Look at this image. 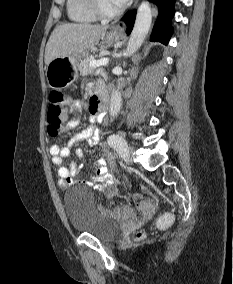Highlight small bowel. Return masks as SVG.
<instances>
[{
	"label": "small bowel",
	"instance_id": "obj_1",
	"mask_svg": "<svg viewBox=\"0 0 233 284\" xmlns=\"http://www.w3.org/2000/svg\"><path fill=\"white\" fill-rule=\"evenodd\" d=\"M90 111V121L92 124L101 123L105 116L106 112L103 107L99 105V102L96 97L91 98L89 104ZM82 112V104L79 100L70 101L69 113L73 116H77ZM78 125V119L75 117L69 120L65 129H72ZM98 136V129L95 126H89L80 133L74 135L72 139L66 146H59L53 144L49 148L50 155L52 157L53 164L57 167L58 171V183L60 186L68 187L71 184L75 183V176L81 170V167L76 161H70L68 165L64 164V160L68 158L71 154L72 147L79 141L91 140L94 141ZM76 154L79 158L83 156V150L81 148L76 149ZM110 162V155L107 153L101 157L95 168L94 172L89 181L85 183L87 185H102L105 183H110V175L107 170V164Z\"/></svg>",
	"mask_w": 233,
	"mask_h": 284
}]
</instances>
